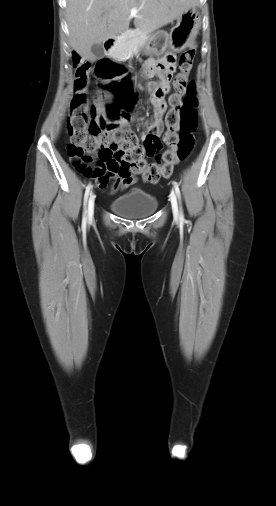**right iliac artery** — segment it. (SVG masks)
<instances>
[{
	"label": "right iliac artery",
	"mask_w": 276,
	"mask_h": 506,
	"mask_svg": "<svg viewBox=\"0 0 276 506\" xmlns=\"http://www.w3.org/2000/svg\"><path fill=\"white\" fill-rule=\"evenodd\" d=\"M91 188H92V185H91V183H89L87 185V187H86L85 194H84V213H83V219H82L83 225H85L86 221H87V217H86V214H87L86 205H87V200H88V196H89Z\"/></svg>",
	"instance_id": "obj_1"
}]
</instances>
